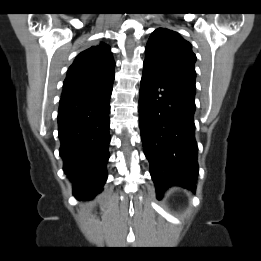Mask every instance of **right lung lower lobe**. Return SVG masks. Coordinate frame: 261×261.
<instances>
[{"label":"right lung lower lobe","instance_id":"right-lung-lower-lobe-1","mask_svg":"<svg viewBox=\"0 0 261 261\" xmlns=\"http://www.w3.org/2000/svg\"><path fill=\"white\" fill-rule=\"evenodd\" d=\"M111 93L112 84L60 99L59 152L79 200H90L100 193L107 179Z\"/></svg>","mask_w":261,"mask_h":261}]
</instances>
